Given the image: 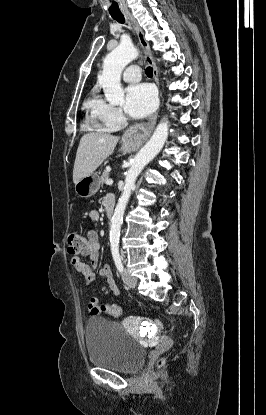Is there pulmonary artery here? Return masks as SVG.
Returning a JSON list of instances; mask_svg holds the SVG:
<instances>
[{
  "label": "pulmonary artery",
  "mask_w": 266,
  "mask_h": 415,
  "mask_svg": "<svg viewBox=\"0 0 266 415\" xmlns=\"http://www.w3.org/2000/svg\"><path fill=\"white\" fill-rule=\"evenodd\" d=\"M140 69L136 65H131L123 72V79L126 82H137L140 80Z\"/></svg>",
  "instance_id": "pulmonary-artery-1"
}]
</instances>
